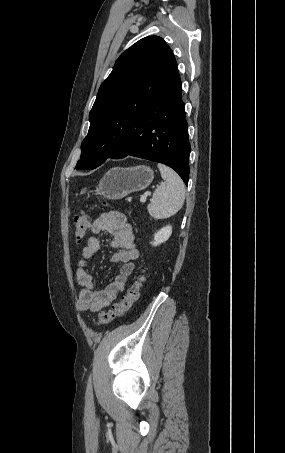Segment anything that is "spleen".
<instances>
[{"label": "spleen", "instance_id": "obj_1", "mask_svg": "<svg viewBox=\"0 0 285 453\" xmlns=\"http://www.w3.org/2000/svg\"><path fill=\"white\" fill-rule=\"evenodd\" d=\"M157 166L165 184L154 191L148 212L155 219H164L173 216L182 208L185 200V186L174 170L163 164Z\"/></svg>", "mask_w": 285, "mask_h": 453}]
</instances>
